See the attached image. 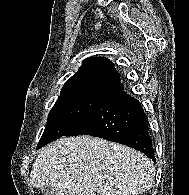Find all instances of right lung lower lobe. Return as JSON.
I'll list each match as a JSON object with an SVG mask.
<instances>
[{
	"label": "right lung lower lobe",
	"mask_w": 189,
	"mask_h": 195,
	"mask_svg": "<svg viewBox=\"0 0 189 195\" xmlns=\"http://www.w3.org/2000/svg\"><path fill=\"white\" fill-rule=\"evenodd\" d=\"M148 125L139 101L121 89L105 98L79 127L65 136L90 135L118 142L156 162Z\"/></svg>",
	"instance_id": "1"
}]
</instances>
